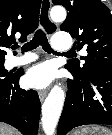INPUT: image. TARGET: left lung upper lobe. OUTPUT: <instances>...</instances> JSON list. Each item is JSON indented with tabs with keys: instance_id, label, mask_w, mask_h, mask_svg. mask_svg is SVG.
<instances>
[{
	"instance_id": "obj_1",
	"label": "left lung upper lobe",
	"mask_w": 112,
	"mask_h": 135,
	"mask_svg": "<svg viewBox=\"0 0 112 135\" xmlns=\"http://www.w3.org/2000/svg\"><path fill=\"white\" fill-rule=\"evenodd\" d=\"M68 10L62 31L76 38L77 49L86 48L88 55L69 61L66 68L80 77L99 71H112V15L100 0H52Z\"/></svg>"
}]
</instances>
